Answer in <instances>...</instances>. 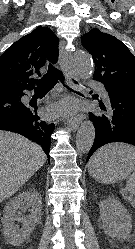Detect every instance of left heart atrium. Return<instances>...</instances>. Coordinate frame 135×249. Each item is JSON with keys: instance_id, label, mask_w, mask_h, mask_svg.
<instances>
[{"instance_id": "obj_1", "label": "left heart atrium", "mask_w": 135, "mask_h": 249, "mask_svg": "<svg viewBox=\"0 0 135 249\" xmlns=\"http://www.w3.org/2000/svg\"><path fill=\"white\" fill-rule=\"evenodd\" d=\"M77 111V106L73 101H63L58 104L52 105L48 108V113L51 116L56 115H73Z\"/></svg>"}]
</instances>
